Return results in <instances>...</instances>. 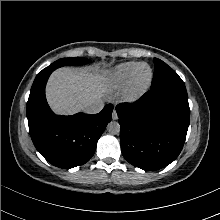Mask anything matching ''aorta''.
Listing matches in <instances>:
<instances>
[{
    "label": "aorta",
    "mask_w": 220,
    "mask_h": 220,
    "mask_svg": "<svg viewBox=\"0 0 220 220\" xmlns=\"http://www.w3.org/2000/svg\"><path fill=\"white\" fill-rule=\"evenodd\" d=\"M107 130L109 133L111 134H119L120 133V124L116 121H111L108 125H107Z\"/></svg>",
    "instance_id": "obj_1"
}]
</instances>
